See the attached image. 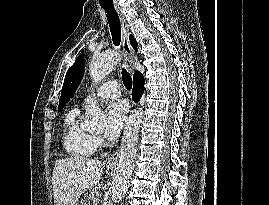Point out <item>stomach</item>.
I'll return each instance as SVG.
<instances>
[{"label":"stomach","mask_w":269,"mask_h":205,"mask_svg":"<svg viewBox=\"0 0 269 205\" xmlns=\"http://www.w3.org/2000/svg\"><path fill=\"white\" fill-rule=\"evenodd\" d=\"M75 205H88L86 201H81L80 203H76Z\"/></svg>","instance_id":"0dacf381"}]
</instances>
